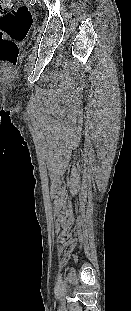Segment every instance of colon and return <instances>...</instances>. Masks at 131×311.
Segmentation results:
<instances>
[{"label":"colon","instance_id":"5ec220e1","mask_svg":"<svg viewBox=\"0 0 131 311\" xmlns=\"http://www.w3.org/2000/svg\"><path fill=\"white\" fill-rule=\"evenodd\" d=\"M32 24L27 7L0 0V65L13 66L18 57V42L23 40Z\"/></svg>","mask_w":131,"mask_h":311}]
</instances>
